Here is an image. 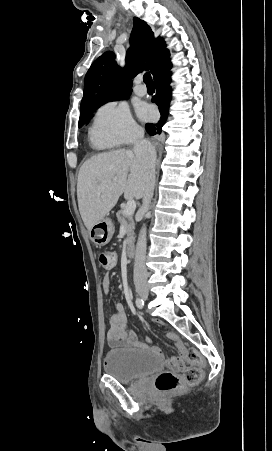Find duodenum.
Wrapping results in <instances>:
<instances>
[{
	"instance_id": "1",
	"label": "duodenum",
	"mask_w": 272,
	"mask_h": 451,
	"mask_svg": "<svg viewBox=\"0 0 272 451\" xmlns=\"http://www.w3.org/2000/svg\"><path fill=\"white\" fill-rule=\"evenodd\" d=\"M126 252H127V256L128 257H133L134 254H135L134 246L133 245H128Z\"/></svg>"
}]
</instances>
